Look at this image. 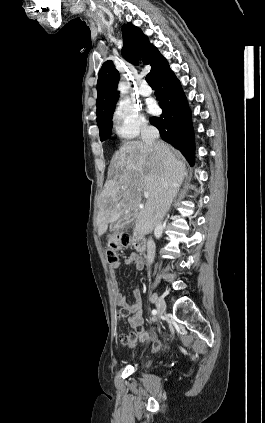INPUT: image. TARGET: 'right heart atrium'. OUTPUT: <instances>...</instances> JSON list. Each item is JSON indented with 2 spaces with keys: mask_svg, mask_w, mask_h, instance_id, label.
I'll use <instances>...</instances> for the list:
<instances>
[{
  "mask_svg": "<svg viewBox=\"0 0 265 423\" xmlns=\"http://www.w3.org/2000/svg\"><path fill=\"white\" fill-rule=\"evenodd\" d=\"M112 121L118 136L125 140L137 137L148 127V122L139 107L127 100H121L116 104Z\"/></svg>",
  "mask_w": 265,
  "mask_h": 423,
  "instance_id": "obj_1",
  "label": "right heart atrium"
}]
</instances>
